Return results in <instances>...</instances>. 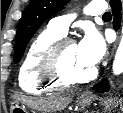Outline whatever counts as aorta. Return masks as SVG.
<instances>
[{
  "label": "aorta",
  "mask_w": 123,
  "mask_h": 113,
  "mask_svg": "<svg viewBox=\"0 0 123 113\" xmlns=\"http://www.w3.org/2000/svg\"><path fill=\"white\" fill-rule=\"evenodd\" d=\"M112 69L113 73L116 75L123 73V35L115 55Z\"/></svg>",
  "instance_id": "1"
}]
</instances>
